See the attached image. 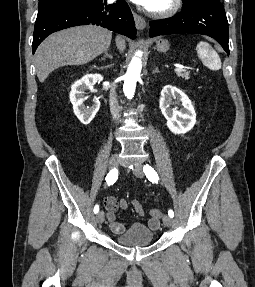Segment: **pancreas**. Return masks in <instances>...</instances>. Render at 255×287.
<instances>
[{
  "label": "pancreas",
  "mask_w": 255,
  "mask_h": 287,
  "mask_svg": "<svg viewBox=\"0 0 255 287\" xmlns=\"http://www.w3.org/2000/svg\"><path fill=\"white\" fill-rule=\"evenodd\" d=\"M177 76L180 78H185V80H189V72H184V74H180V72H176Z\"/></svg>",
  "instance_id": "obj_1"
}]
</instances>
